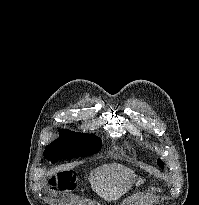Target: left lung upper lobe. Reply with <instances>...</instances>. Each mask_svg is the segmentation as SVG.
Wrapping results in <instances>:
<instances>
[{"label":"left lung upper lobe","mask_w":199,"mask_h":205,"mask_svg":"<svg viewBox=\"0 0 199 205\" xmlns=\"http://www.w3.org/2000/svg\"><path fill=\"white\" fill-rule=\"evenodd\" d=\"M157 163H158V165H159L160 167L163 168V162H162L160 159L157 161Z\"/></svg>","instance_id":"1"}]
</instances>
